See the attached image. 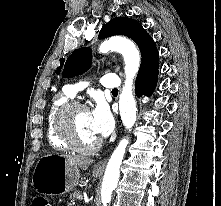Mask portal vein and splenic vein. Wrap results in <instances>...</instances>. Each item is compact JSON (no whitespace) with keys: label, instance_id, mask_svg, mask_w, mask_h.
<instances>
[{"label":"portal vein and splenic vein","instance_id":"obj_1","mask_svg":"<svg viewBox=\"0 0 221 206\" xmlns=\"http://www.w3.org/2000/svg\"><path fill=\"white\" fill-rule=\"evenodd\" d=\"M83 199V197H82V195L81 196H78V200H82Z\"/></svg>","mask_w":221,"mask_h":206}]
</instances>
